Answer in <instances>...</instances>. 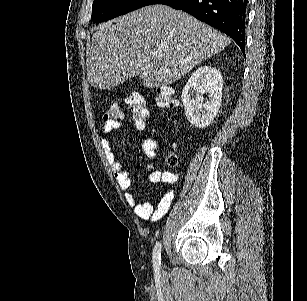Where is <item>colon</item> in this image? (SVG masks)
Returning a JSON list of instances; mask_svg holds the SVG:
<instances>
[{
  "label": "colon",
  "mask_w": 307,
  "mask_h": 301,
  "mask_svg": "<svg viewBox=\"0 0 307 301\" xmlns=\"http://www.w3.org/2000/svg\"><path fill=\"white\" fill-rule=\"evenodd\" d=\"M155 102L161 108H174L177 105L172 88L166 86L158 89ZM126 103L131 108L134 127L137 130L144 129L149 117L145 98L139 92H133L127 96ZM122 118L123 111L116 104L111 105L103 115L105 122H119ZM166 161L170 166H175L177 157L174 154H169Z\"/></svg>",
  "instance_id": "obj_1"
}]
</instances>
